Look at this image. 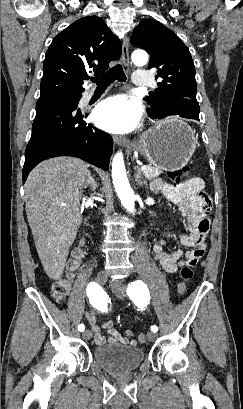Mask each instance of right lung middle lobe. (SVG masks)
Returning <instances> with one entry per match:
<instances>
[{
    "label": "right lung middle lobe",
    "instance_id": "1",
    "mask_svg": "<svg viewBox=\"0 0 243 409\" xmlns=\"http://www.w3.org/2000/svg\"><path fill=\"white\" fill-rule=\"evenodd\" d=\"M80 96H73V97H64V98H58V99H53V100H60V101H77L79 99Z\"/></svg>",
    "mask_w": 243,
    "mask_h": 409
}]
</instances>
